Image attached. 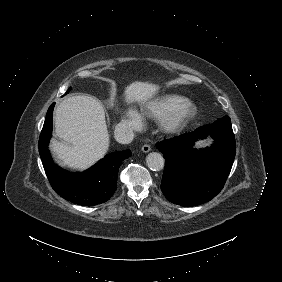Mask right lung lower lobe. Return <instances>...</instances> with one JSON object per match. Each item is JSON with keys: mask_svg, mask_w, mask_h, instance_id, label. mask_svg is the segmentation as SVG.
<instances>
[{"mask_svg": "<svg viewBox=\"0 0 282 282\" xmlns=\"http://www.w3.org/2000/svg\"><path fill=\"white\" fill-rule=\"evenodd\" d=\"M54 104L47 111L38 143L43 167L52 188L64 199L79 205L94 206L106 202L117 189L119 167L122 161L132 155L131 151L110 153L82 173H70L56 166L48 150Z\"/></svg>", "mask_w": 282, "mask_h": 282, "instance_id": "1", "label": "right lung lower lobe"}]
</instances>
